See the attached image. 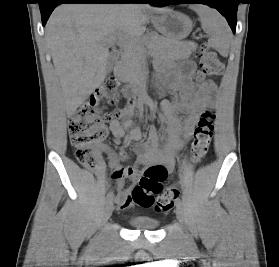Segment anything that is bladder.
I'll list each match as a JSON object with an SVG mask.
<instances>
[{
	"instance_id": "obj_1",
	"label": "bladder",
	"mask_w": 279,
	"mask_h": 267,
	"mask_svg": "<svg viewBox=\"0 0 279 267\" xmlns=\"http://www.w3.org/2000/svg\"><path fill=\"white\" fill-rule=\"evenodd\" d=\"M128 224L139 230H155L160 225V221L148 216H134L128 220Z\"/></svg>"
}]
</instances>
